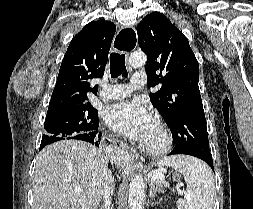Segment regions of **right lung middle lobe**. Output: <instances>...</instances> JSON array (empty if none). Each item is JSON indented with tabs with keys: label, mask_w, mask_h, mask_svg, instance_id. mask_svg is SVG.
<instances>
[{
	"label": "right lung middle lobe",
	"mask_w": 253,
	"mask_h": 209,
	"mask_svg": "<svg viewBox=\"0 0 253 209\" xmlns=\"http://www.w3.org/2000/svg\"><path fill=\"white\" fill-rule=\"evenodd\" d=\"M96 123L97 110L91 105L56 110L46 116L40 149L59 140L90 133Z\"/></svg>",
	"instance_id": "obj_1"
}]
</instances>
